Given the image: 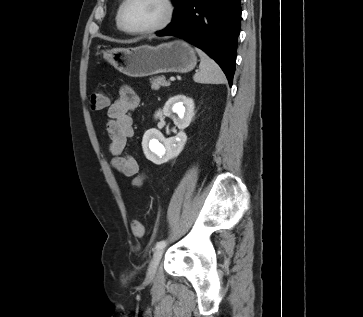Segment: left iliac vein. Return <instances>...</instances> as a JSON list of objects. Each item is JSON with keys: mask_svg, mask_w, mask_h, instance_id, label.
Returning <instances> with one entry per match:
<instances>
[{"mask_svg": "<svg viewBox=\"0 0 363 317\" xmlns=\"http://www.w3.org/2000/svg\"><path fill=\"white\" fill-rule=\"evenodd\" d=\"M163 253H164V248H159L154 252L153 258L149 264L148 271H147L148 279H152L155 276L157 267L160 263Z\"/></svg>", "mask_w": 363, "mask_h": 317, "instance_id": "4c4485c4", "label": "left iliac vein"}]
</instances>
